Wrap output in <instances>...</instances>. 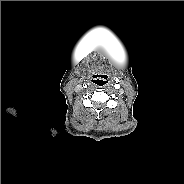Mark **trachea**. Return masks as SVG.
<instances>
[{
	"label": "trachea",
	"mask_w": 184,
	"mask_h": 184,
	"mask_svg": "<svg viewBox=\"0 0 184 184\" xmlns=\"http://www.w3.org/2000/svg\"><path fill=\"white\" fill-rule=\"evenodd\" d=\"M93 83L99 87H102L104 86L107 82L105 80H102V79H96V80H93Z\"/></svg>",
	"instance_id": "1"
}]
</instances>
